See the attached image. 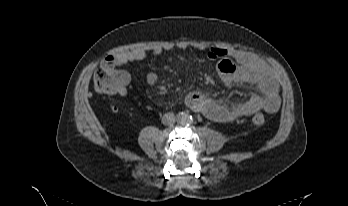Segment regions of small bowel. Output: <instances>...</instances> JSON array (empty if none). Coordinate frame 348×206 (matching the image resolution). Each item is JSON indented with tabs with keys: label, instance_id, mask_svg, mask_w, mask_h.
I'll list each match as a JSON object with an SVG mask.
<instances>
[{
	"label": "small bowel",
	"instance_id": "c3829d8e",
	"mask_svg": "<svg viewBox=\"0 0 348 206\" xmlns=\"http://www.w3.org/2000/svg\"><path fill=\"white\" fill-rule=\"evenodd\" d=\"M178 49L188 50L191 47L203 50L209 59L217 61V71L225 85L230 86L235 83L253 84L258 87L261 94L251 96L246 101L235 106H228L221 102L208 99L200 92H192L187 103L194 110L204 113L208 118L221 122L231 123L242 117L250 116L257 111L264 110L273 114L279 110L280 96L276 77L270 67L256 56L240 51L227 50L217 46L193 45L188 41H180ZM170 47L137 48L116 57V62L120 66L132 62L141 61L150 55H159ZM158 75L150 72L146 75V82L155 85L158 82ZM128 76L125 85L129 82ZM124 87L117 94L127 95Z\"/></svg>",
	"mask_w": 348,
	"mask_h": 206
}]
</instances>
